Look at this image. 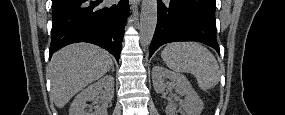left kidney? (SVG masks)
I'll use <instances>...</instances> for the list:
<instances>
[{
	"instance_id": "left-kidney-1",
	"label": "left kidney",
	"mask_w": 285,
	"mask_h": 115,
	"mask_svg": "<svg viewBox=\"0 0 285 115\" xmlns=\"http://www.w3.org/2000/svg\"><path fill=\"white\" fill-rule=\"evenodd\" d=\"M166 79L171 81L177 94L184 96V100L180 105L184 108L186 115H200L204 104L191 86L189 80L183 74L172 72L162 66L153 67L152 81L157 93H162L167 88L169 83L165 82ZM176 108L174 104L168 103L166 114L176 115Z\"/></svg>"
}]
</instances>
